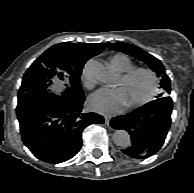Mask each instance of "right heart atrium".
Segmentation results:
<instances>
[{"label":"right heart atrium","mask_w":194,"mask_h":193,"mask_svg":"<svg viewBox=\"0 0 194 193\" xmlns=\"http://www.w3.org/2000/svg\"><path fill=\"white\" fill-rule=\"evenodd\" d=\"M83 81H84V85L87 88H93L94 86V81L93 79L87 74L86 68H84L83 70Z\"/></svg>","instance_id":"1"}]
</instances>
